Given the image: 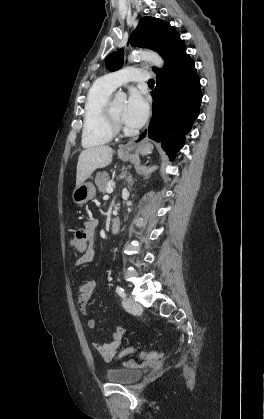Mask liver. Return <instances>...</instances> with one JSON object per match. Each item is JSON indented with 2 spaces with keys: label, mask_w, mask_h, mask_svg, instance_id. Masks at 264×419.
I'll list each match as a JSON object with an SVG mask.
<instances>
[{
  "label": "liver",
  "mask_w": 264,
  "mask_h": 419,
  "mask_svg": "<svg viewBox=\"0 0 264 419\" xmlns=\"http://www.w3.org/2000/svg\"><path fill=\"white\" fill-rule=\"evenodd\" d=\"M113 149L109 146H96L83 150L78 158L76 186L84 183L98 168H104L112 162Z\"/></svg>",
  "instance_id": "liver-1"
}]
</instances>
